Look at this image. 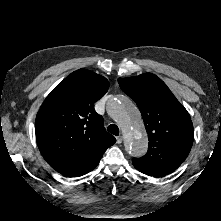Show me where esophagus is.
<instances>
[{
	"instance_id": "esophagus-1",
	"label": "esophagus",
	"mask_w": 221,
	"mask_h": 221,
	"mask_svg": "<svg viewBox=\"0 0 221 221\" xmlns=\"http://www.w3.org/2000/svg\"><path fill=\"white\" fill-rule=\"evenodd\" d=\"M122 141H123L122 136H118V137L116 138V143H117V144H121Z\"/></svg>"
}]
</instances>
